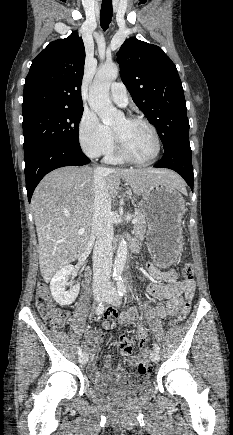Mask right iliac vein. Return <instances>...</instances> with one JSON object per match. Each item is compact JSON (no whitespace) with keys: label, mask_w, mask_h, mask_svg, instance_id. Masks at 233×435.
<instances>
[{"label":"right iliac vein","mask_w":233,"mask_h":435,"mask_svg":"<svg viewBox=\"0 0 233 435\" xmlns=\"http://www.w3.org/2000/svg\"><path fill=\"white\" fill-rule=\"evenodd\" d=\"M104 292L97 291L94 293V299L96 302H100L103 299ZM88 354L86 352L81 353L79 361L81 364H86L88 362Z\"/></svg>","instance_id":"obj_1"}]
</instances>
